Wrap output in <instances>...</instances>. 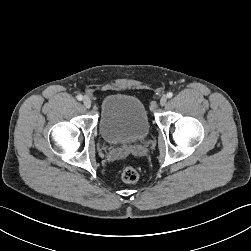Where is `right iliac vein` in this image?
<instances>
[{
  "instance_id": "63e3f726",
  "label": "right iliac vein",
  "mask_w": 251,
  "mask_h": 251,
  "mask_svg": "<svg viewBox=\"0 0 251 251\" xmlns=\"http://www.w3.org/2000/svg\"><path fill=\"white\" fill-rule=\"evenodd\" d=\"M83 104H84V106L86 107V108H90L91 107V100H90V98L89 97H84V99H83Z\"/></svg>"
}]
</instances>
